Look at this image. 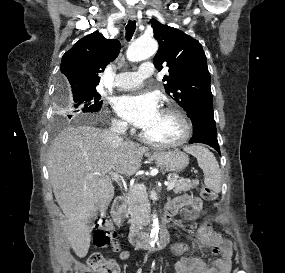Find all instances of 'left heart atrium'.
Instances as JSON below:
<instances>
[{
	"label": "left heart atrium",
	"instance_id": "left-heart-atrium-1",
	"mask_svg": "<svg viewBox=\"0 0 285 273\" xmlns=\"http://www.w3.org/2000/svg\"><path fill=\"white\" fill-rule=\"evenodd\" d=\"M114 108L119 116L142 130L160 114L157 98L146 93L122 95L116 99Z\"/></svg>",
	"mask_w": 285,
	"mask_h": 273
}]
</instances>
